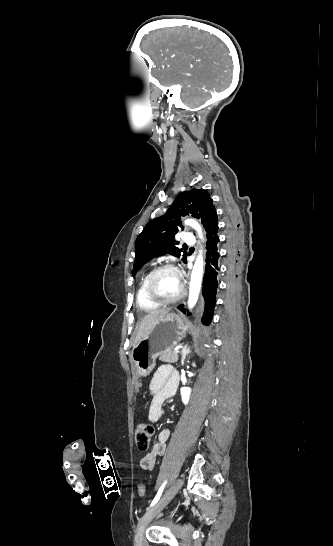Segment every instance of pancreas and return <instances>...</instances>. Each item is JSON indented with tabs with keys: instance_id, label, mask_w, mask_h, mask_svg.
<instances>
[{
	"instance_id": "cf45deb5",
	"label": "pancreas",
	"mask_w": 333,
	"mask_h": 546,
	"mask_svg": "<svg viewBox=\"0 0 333 546\" xmlns=\"http://www.w3.org/2000/svg\"><path fill=\"white\" fill-rule=\"evenodd\" d=\"M159 359L162 362L176 363L179 359V356L178 353L168 351L161 353Z\"/></svg>"
}]
</instances>
